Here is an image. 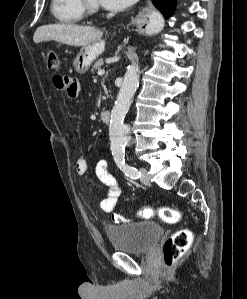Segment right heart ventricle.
<instances>
[{
    "mask_svg": "<svg viewBox=\"0 0 247 299\" xmlns=\"http://www.w3.org/2000/svg\"><path fill=\"white\" fill-rule=\"evenodd\" d=\"M51 13L54 19L62 24H75L85 15L80 0H52Z\"/></svg>",
    "mask_w": 247,
    "mask_h": 299,
    "instance_id": "e07e8e85",
    "label": "right heart ventricle"
}]
</instances>
